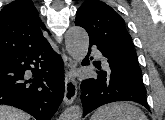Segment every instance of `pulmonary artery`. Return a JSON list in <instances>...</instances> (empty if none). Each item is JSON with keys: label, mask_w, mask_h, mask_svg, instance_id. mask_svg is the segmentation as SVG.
I'll return each mask as SVG.
<instances>
[{"label": "pulmonary artery", "mask_w": 165, "mask_h": 120, "mask_svg": "<svg viewBox=\"0 0 165 120\" xmlns=\"http://www.w3.org/2000/svg\"><path fill=\"white\" fill-rule=\"evenodd\" d=\"M94 54H95L97 57H101V54H100L98 51H96V50H94Z\"/></svg>", "instance_id": "obj_1"}]
</instances>
